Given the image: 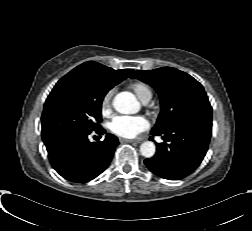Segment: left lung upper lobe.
Masks as SVG:
<instances>
[{"instance_id": "obj_1", "label": "left lung upper lobe", "mask_w": 252, "mask_h": 231, "mask_svg": "<svg viewBox=\"0 0 252 231\" xmlns=\"http://www.w3.org/2000/svg\"><path fill=\"white\" fill-rule=\"evenodd\" d=\"M131 78L150 84L158 93L161 112L152 133H162L190 118L212 120V107L203 86L189 74L170 67L135 71Z\"/></svg>"}]
</instances>
